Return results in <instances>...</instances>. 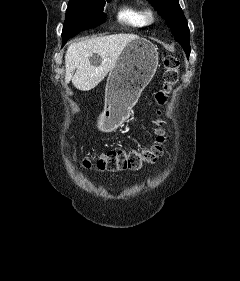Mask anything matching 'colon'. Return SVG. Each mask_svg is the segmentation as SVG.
Returning a JSON list of instances; mask_svg holds the SVG:
<instances>
[{
  "label": "colon",
  "instance_id": "obj_1",
  "mask_svg": "<svg viewBox=\"0 0 240 281\" xmlns=\"http://www.w3.org/2000/svg\"><path fill=\"white\" fill-rule=\"evenodd\" d=\"M180 61L174 55L164 59L163 87L159 90L155 99L157 102L158 118L155 120L157 126L156 139L149 147L138 150H110L96 157H87L83 165L87 168L94 167L102 171L118 172L124 170H138L144 164L154 163L163 153L164 131L163 120L160 118L162 107L166 104L169 93L179 79Z\"/></svg>",
  "mask_w": 240,
  "mask_h": 281
}]
</instances>
